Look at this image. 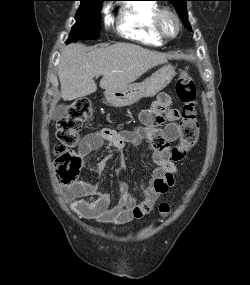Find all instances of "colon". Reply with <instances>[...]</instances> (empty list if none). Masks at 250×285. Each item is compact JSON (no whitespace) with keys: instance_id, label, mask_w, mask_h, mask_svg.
<instances>
[{"instance_id":"colon-1","label":"colon","mask_w":250,"mask_h":285,"mask_svg":"<svg viewBox=\"0 0 250 285\" xmlns=\"http://www.w3.org/2000/svg\"><path fill=\"white\" fill-rule=\"evenodd\" d=\"M175 91L183 104L181 110L179 144L171 150L163 149L162 155L173 158L177 154H185L197 141L199 124L196 118V86L187 71H182L177 79ZM93 109L89 100H76L67 110L65 116L57 122L56 136L58 144L55 148L54 166L59 179L64 184L75 183L83 166V159L75 147L80 141V131L83 123L92 115ZM171 205L162 202L159 212L162 216L171 213Z\"/></svg>"}]
</instances>
